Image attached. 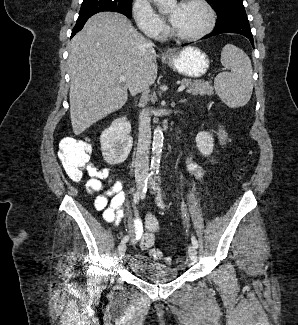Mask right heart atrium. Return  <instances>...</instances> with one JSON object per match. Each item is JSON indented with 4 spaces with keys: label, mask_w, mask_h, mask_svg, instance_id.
Returning a JSON list of instances; mask_svg holds the SVG:
<instances>
[{
    "label": "right heart atrium",
    "mask_w": 298,
    "mask_h": 325,
    "mask_svg": "<svg viewBox=\"0 0 298 325\" xmlns=\"http://www.w3.org/2000/svg\"><path fill=\"white\" fill-rule=\"evenodd\" d=\"M133 12L140 30H152V41H163L165 24L155 13L149 0H136Z\"/></svg>",
    "instance_id": "right-heart-atrium-1"
}]
</instances>
